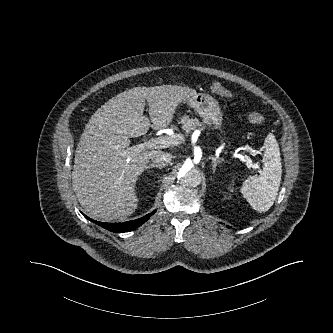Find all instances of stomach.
I'll use <instances>...</instances> for the list:
<instances>
[{"label":"stomach","mask_w":333,"mask_h":333,"mask_svg":"<svg viewBox=\"0 0 333 333\" xmlns=\"http://www.w3.org/2000/svg\"><path fill=\"white\" fill-rule=\"evenodd\" d=\"M186 102L192 107L203 121L209 126L221 130L222 112L216 99L208 94L195 93L186 99ZM224 143V140L221 141Z\"/></svg>","instance_id":"0dacf381"}]
</instances>
